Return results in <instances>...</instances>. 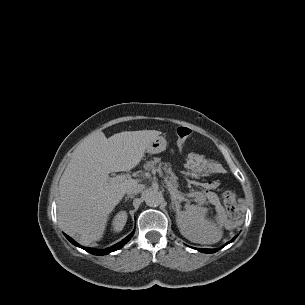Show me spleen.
<instances>
[{"mask_svg":"<svg viewBox=\"0 0 305 305\" xmlns=\"http://www.w3.org/2000/svg\"><path fill=\"white\" fill-rule=\"evenodd\" d=\"M207 209L197 205H187L177 211L176 222L180 233L188 240L199 244H214L223 235L224 218L219 211L215 219L206 218Z\"/></svg>","mask_w":305,"mask_h":305,"instance_id":"obj_1","label":"spleen"}]
</instances>
